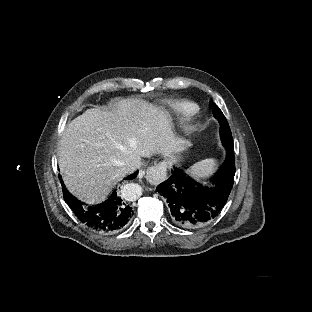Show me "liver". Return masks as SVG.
Instances as JSON below:
<instances>
[{
  "instance_id": "liver-1",
  "label": "liver",
  "mask_w": 312,
  "mask_h": 312,
  "mask_svg": "<svg viewBox=\"0 0 312 312\" xmlns=\"http://www.w3.org/2000/svg\"><path fill=\"white\" fill-rule=\"evenodd\" d=\"M182 148L166 111L151 103L121 100L114 111L89 109L70 122L58 148L68 189L86 202L106 198L136 157Z\"/></svg>"
}]
</instances>
